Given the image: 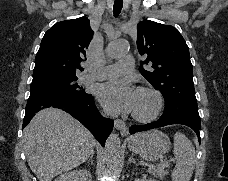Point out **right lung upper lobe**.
Segmentation results:
<instances>
[{"label": "right lung upper lobe", "instance_id": "cb5924a9", "mask_svg": "<svg viewBox=\"0 0 228 181\" xmlns=\"http://www.w3.org/2000/svg\"><path fill=\"white\" fill-rule=\"evenodd\" d=\"M93 37L87 17L56 23L44 35L35 58L33 79L75 75L83 71L86 49Z\"/></svg>", "mask_w": 228, "mask_h": 181}]
</instances>
